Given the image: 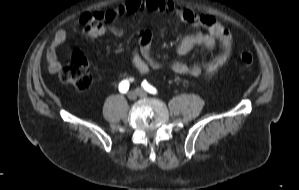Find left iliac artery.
<instances>
[{"mask_svg":"<svg viewBox=\"0 0 299 190\" xmlns=\"http://www.w3.org/2000/svg\"><path fill=\"white\" fill-rule=\"evenodd\" d=\"M142 87L147 91V92H149V93H151V94H156V89L153 87V86H151L146 80H144L143 82H142Z\"/></svg>","mask_w":299,"mask_h":190,"instance_id":"left-iliac-artery-1","label":"left iliac artery"}]
</instances>
